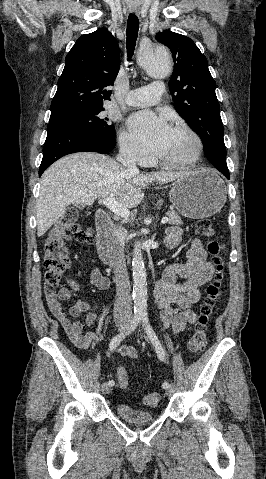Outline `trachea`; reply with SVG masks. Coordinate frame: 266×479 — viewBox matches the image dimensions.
Wrapping results in <instances>:
<instances>
[{
  "mask_svg": "<svg viewBox=\"0 0 266 479\" xmlns=\"http://www.w3.org/2000/svg\"><path fill=\"white\" fill-rule=\"evenodd\" d=\"M139 30V20L135 14H130L127 21V38H126V48L128 60H131L132 55L134 54L136 40Z\"/></svg>",
  "mask_w": 266,
  "mask_h": 479,
  "instance_id": "3493384b",
  "label": "trachea"
}]
</instances>
